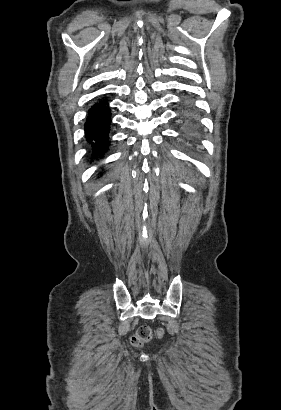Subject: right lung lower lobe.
Returning a JSON list of instances; mask_svg holds the SVG:
<instances>
[{"label": "right lung lower lobe", "mask_w": 281, "mask_h": 410, "mask_svg": "<svg viewBox=\"0 0 281 410\" xmlns=\"http://www.w3.org/2000/svg\"><path fill=\"white\" fill-rule=\"evenodd\" d=\"M107 101H99L90 109L84 124L87 142L92 146V157L103 154L109 145L111 113Z\"/></svg>", "instance_id": "right-lung-lower-lobe-1"}]
</instances>
